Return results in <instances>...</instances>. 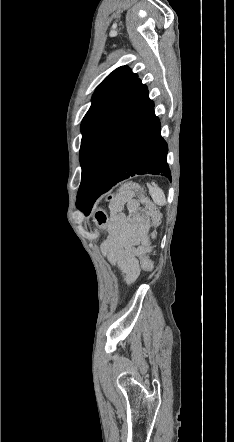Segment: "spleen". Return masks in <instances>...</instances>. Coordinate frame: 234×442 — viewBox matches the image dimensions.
<instances>
[{"label":"spleen","mask_w":234,"mask_h":442,"mask_svg":"<svg viewBox=\"0 0 234 442\" xmlns=\"http://www.w3.org/2000/svg\"><path fill=\"white\" fill-rule=\"evenodd\" d=\"M149 192L155 204L159 206H164L166 204L164 192L156 184H153V186L149 188Z\"/></svg>","instance_id":"spleen-1"}]
</instances>
